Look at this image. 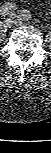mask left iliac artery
I'll list each match as a JSON object with an SVG mask.
<instances>
[{"instance_id": "1", "label": "left iliac artery", "mask_w": 51, "mask_h": 153, "mask_svg": "<svg viewBox=\"0 0 51 153\" xmlns=\"http://www.w3.org/2000/svg\"><path fill=\"white\" fill-rule=\"evenodd\" d=\"M20 14H21V16H22V18H23L24 20H30V19H31V14H30V12L27 11V10L21 11Z\"/></svg>"}]
</instances>
